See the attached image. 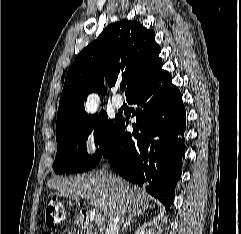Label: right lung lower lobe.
Returning a JSON list of instances; mask_svg holds the SVG:
<instances>
[{
  "instance_id": "98d812e1",
  "label": "right lung lower lobe",
  "mask_w": 241,
  "mask_h": 234,
  "mask_svg": "<svg viewBox=\"0 0 241 234\" xmlns=\"http://www.w3.org/2000/svg\"><path fill=\"white\" fill-rule=\"evenodd\" d=\"M162 67L127 98L136 104L133 133L119 117L103 154L120 176L144 188L168 209L181 175L186 112L181 93Z\"/></svg>"
}]
</instances>
